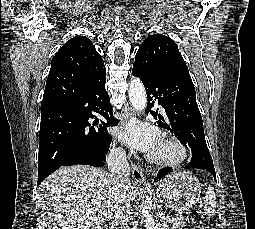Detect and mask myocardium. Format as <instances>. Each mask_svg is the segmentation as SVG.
I'll list each match as a JSON object with an SVG mask.
<instances>
[{
    "label": "myocardium",
    "instance_id": "f54148a6",
    "mask_svg": "<svg viewBox=\"0 0 255 229\" xmlns=\"http://www.w3.org/2000/svg\"><path fill=\"white\" fill-rule=\"evenodd\" d=\"M161 144L167 146L170 154H150L149 160L153 163L163 166H177L183 163L188 157V151L185 145L179 140L165 136L161 139Z\"/></svg>",
    "mask_w": 255,
    "mask_h": 229
}]
</instances>
